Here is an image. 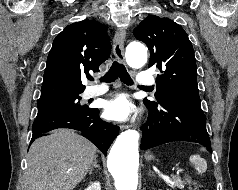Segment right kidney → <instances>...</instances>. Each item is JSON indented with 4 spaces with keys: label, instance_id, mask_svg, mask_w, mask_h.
Instances as JSON below:
<instances>
[{
    "label": "right kidney",
    "instance_id": "right-kidney-1",
    "mask_svg": "<svg viewBox=\"0 0 238 190\" xmlns=\"http://www.w3.org/2000/svg\"><path fill=\"white\" fill-rule=\"evenodd\" d=\"M85 190H101L99 182H92Z\"/></svg>",
    "mask_w": 238,
    "mask_h": 190
}]
</instances>
